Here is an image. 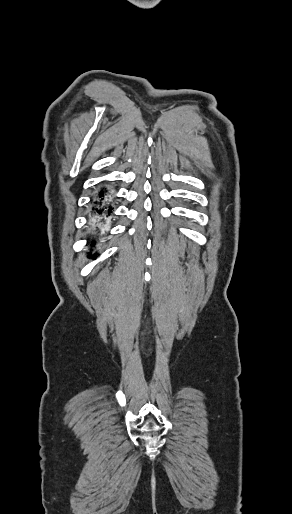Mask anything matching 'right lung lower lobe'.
I'll list each match as a JSON object with an SVG mask.
<instances>
[{
	"label": "right lung lower lobe",
	"instance_id": "right-lung-lower-lobe-1",
	"mask_svg": "<svg viewBox=\"0 0 292 514\" xmlns=\"http://www.w3.org/2000/svg\"><path fill=\"white\" fill-rule=\"evenodd\" d=\"M111 193L105 187L101 188L90 201V217L92 223L97 225L104 223L111 215L113 207L111 206ZM93 242H91L92 244Z\"/></svg>",
	"mask_w": 292,
	"mask_h": 514
}]
</instances>
